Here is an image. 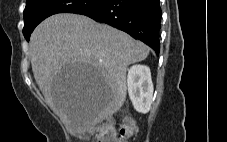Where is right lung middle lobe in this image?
Wrapping results in <instances>:
<instances>
[{
    "label": "right lung middle lobe",
    "instance_id": "dd1d6c3e",
    "mask_svg": "<svg viewBox=\"0 0 227 142\" xmlns=\"http://www.w3.org/2000/svg\"><path fill=\"white\" fill-rule=\"evenodd\" d=\"M106 0H29L24 10L23 34L27 41L35 27L57 13H80L102 5Z\"/></svg>",
    "mask_w": 227,
    "mask_h": 142
}]
</instances>
